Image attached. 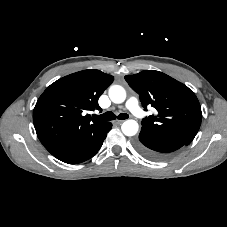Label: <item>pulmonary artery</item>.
Wrapping results in <instances>:
<instances>
[{
	"label": "pulmonary artery",
	"mask_w": 227,
	"mask_h": 227,
	"mask_svg": "<svg viewBox=\"0 0 227 227\" xmlns=\"http://www.w3.org/2000/svg\"><path fill=\"white\" fill-rule=\"evenodd\" d=\"M125 107L136 117L142 118L144 116L143 111L139 107L138 100L136 97L131 96L126 101Z\"/></svg>",
	"instance_id": "obj_1"
}]
</instances>
